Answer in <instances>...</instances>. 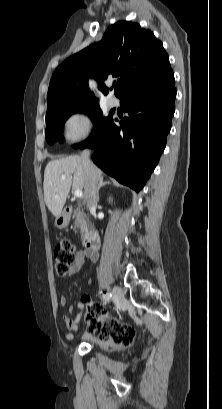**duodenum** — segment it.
Returning a JSON list of instances; mask_svg holds the SVG:
<instances>
[{"label": "duodenum", "mask_w": 222, "mask_h": 409, "mask_svg": "<svg viewBox=\"0 0 222 409\" xmlns=\"http://www.w3.org/2000/svg\"><path fill=\"white\" fill-rule=\"evenodd\" d=\"M71 211V209H68ZM84 246L88 252H95L101 246V238L97 230L89 232L84 239Z\"/></svg>", "instance_id": "obj_1"}]
</instances>
